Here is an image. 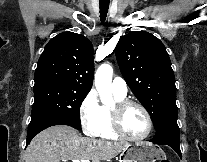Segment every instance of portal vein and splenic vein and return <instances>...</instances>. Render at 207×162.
<instances>
[{
	"label": "portal vein and splenic vein",
	"mask_w": 207,
	"mask_h": 162,
	"mask_svg": "<svg viewBox=\"0 0 207 162\" xmlns=\"http://www.w3.org/2000/svg\"><path fill=\"white\" fill-rule=\"evenodd\" d=\"M63 162H67V160H63ZM74 162H90L89 160H75Z\"/></svg>",
	"instance_id": "18ae733b"
}]
</instances>
